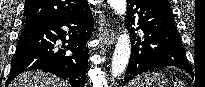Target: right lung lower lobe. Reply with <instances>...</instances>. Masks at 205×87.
I'll list each match as a JSON object with an SVG mask.
<instances>
[{
    "instance_id": "98d812e1",
    "label": "right lung lower lobe",
    "mask_w": 205,
    "mask_h": 87,
    "mask_svg": "<svg viewBox=\"0 0 205 87\" xmlns=\"http://www.w3.org/2000/svg\"><path fill=\"white\" fill-rule=\"evenodd\" d=\"M68 26L70 31H64ZM93 17L88 4L62 18L25 26L12 58L6 86L20 73L40 69L68 80L72 87H84L88 67L87 41L91 37ZM68 38V40L66 39ZM68 45L72 56L58 49L56 41Z\"/></svg>"
}]
</instances>
